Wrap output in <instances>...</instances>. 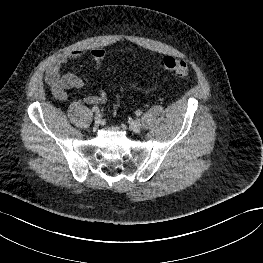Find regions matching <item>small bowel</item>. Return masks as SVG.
I'll return each mask as SVG.
<instances>
[{"mask_svg":"<svg viewBox=\"0 0 263 263\" xmlns=\"http://www.w3.org/2000/svg\"><path fill=\"white\" fill-rule=\"evenodd\" d=\"M92 57L97 66H100L104 60V50L94 48L89 53L85 50H72L57 55L50 63L46 70L45 80L51 88L54 98L58 101H64L68 97L69 90H78L82 88L83 81L74 74L61 75V67L69 61H81L87 56ZM107 98L104 90L97 94L84 96V101L88 104H101Z\"/></svg>","mask_w":263,"mask_h":263,"instance_id":"c3829d8e","label":"small bowel"}]
</instances>
